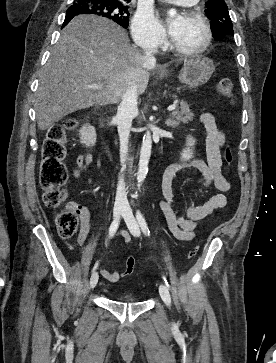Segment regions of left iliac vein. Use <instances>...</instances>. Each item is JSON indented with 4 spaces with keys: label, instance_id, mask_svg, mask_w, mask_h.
I'll use <instances>...</instances> for the list:
<instances>
[{
    "label": "left iliac vein",
    "instance_id": "4c4485c4",
    "mask_svg": "<svg viewBox=\"0 0 276 363\" xmlns=\"http://www.w3.org/2000/svg\"><path fill=\"white\" fill-rule=\"evenodd\" d=\"M123 218L127 224V227L129 229L130 233L135 237H139L140 236L139 225H138L129 205L125 206V209L123 211ZM159 293H160L162 300L165 302V304L168 307H170L171 306V297H170L169 290L165 284H161L159 286Z\"/></svg>",
    "mask_w": 276,
    "mask_h": 363
}]
</instances>
